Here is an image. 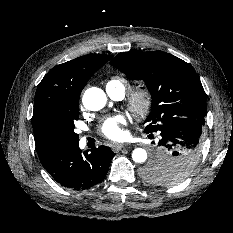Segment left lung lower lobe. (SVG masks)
Masks as SVG:
<instances>
[{
	"label": "left lung lower lobe",
	"mask_w": 233,
	"mask_h": 233,
	"mask_svg": "<svg viewBox=\"0 0 233 233\" xmlns=\"http://www.w3.org/2000/svg\"><path fill=\"white\" fill-rule=\"evenodd\" d=\"M204 123L197 120H175L161 126L158 130L159 149L152 162L164 165L181 157L198 160L202 148L201 134Z\"/></svg>",
	"instance_id": "1"
}]
</instances>
